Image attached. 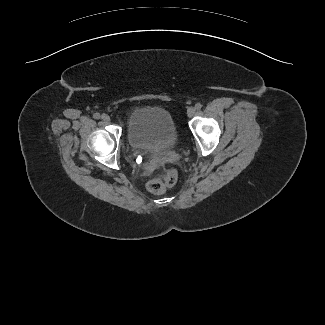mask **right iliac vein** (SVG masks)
Here are the masks:
<instances>
[{"label":"right iliac vein","instance_id":"1","mask_svg":"<svg viewBox=\"0 0 325 325\" xmlns=\"http://www.w3.org/2000/svg\"><path fill=\"white\" fill-rule=\"evenodd\" d=\"M101 119H102L104 122H109V121L111 120L110 116L107 115V114H102Z\"/></svg>","mask_w":325,"mask_h":325}]
</instances>
